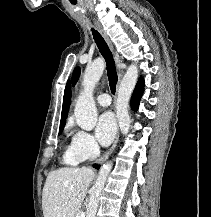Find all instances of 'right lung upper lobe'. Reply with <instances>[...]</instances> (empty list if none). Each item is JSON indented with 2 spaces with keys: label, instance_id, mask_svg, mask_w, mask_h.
Wrapping results in <instances>:
<instances>
[{
  "label": "right lung upper lobe",
  "instance_id": "obj_1",
  "mask_svg": "<svg viewBox=\"0 0 211 217\" xmlns=\"http://www.w3.org/2000/svg\"><path fill=\"white\" fill-rule=\"evenodd\" d=\"M70 101H71V86H70V81H68L64 92L60 128L61 127L64 128L65 126L67 113L69 111Z\"/></svg>",
  "mask_w": 211,
  "mask_h": 217
}]
</instances>
